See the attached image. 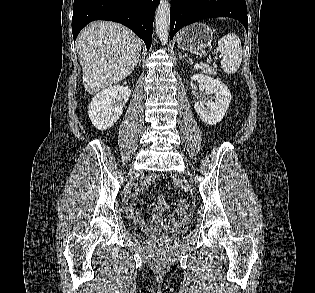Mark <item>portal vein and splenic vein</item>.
Returning <instances> with one entry per match:
<instances>
[{
	"mask_svg": "<svg viewBox=\"0 0 315 293\" xmlns=\"http://www.w3.org/2000/svg\"><path fill=\"white\" fill-rule=\"evenodd\" d=\"M194 67L197 69V68H199L200 66H199V65H197V66H194Z\"/></svg>",
	"mask_w": 315,
	"mask_h": 293,
	"instance_id": "portal-vein-and-splenic-vein-1",
	"label": "portal vein and splenic vein"
}]
</instances>
